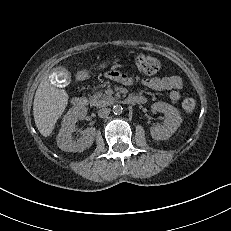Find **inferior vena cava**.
<instances>
[{"label": "inferior vena cava", "mask_w": 231, "mask_h": 231, "mask_svg": "<svg viewBox=\"0 0 231 231\" xmlns=\"http://www.w3.org/2000/svg\"><path fill=\"white\" fill-rule=\"evenodd\" d=\"M110 109L109 108H102L98 111V116L101 118H106L110 114Z\"/></svg>", "instance_id": "inferior-vena-cava-1"}]
</instances>
